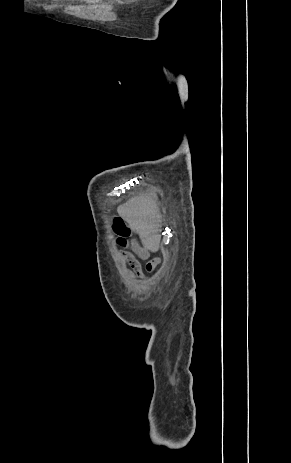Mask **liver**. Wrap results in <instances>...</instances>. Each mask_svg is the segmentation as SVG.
I'll return each instance as SVG.
<instances>
[{"label": "liver", "instance_id": "obj_1", "mask_svg": "<svg viewBox=\"0 0 291 463\" xmlns=\"http://www.w3.org/2000/svg\"><path fill=\"white\" fill-rule=\"evenodd\" d=\"M121 216L135 231L146 250L156 252L159 249L160 216L155 201L145 194L129 199L117 209Z\"/></svg>", "mask_w": 291, "mask_h": 463}]
</instances>
